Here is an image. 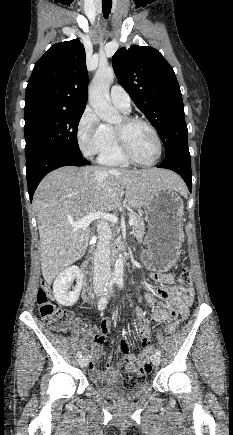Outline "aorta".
<instances>
[{
    "label": "aorta",
    "instance_id": "1",
    "mask_svg": "<svg viewBox=\"0 0 233 435\" xmlns=\"http://www.w3.org/2000/svg\"><path fill=\"white\" fill-rule=\"evenodd\" d=\"M115 77L112 67L98 68L89 87V103L97 116L108 123L121 121L119 112L112 106L109 98V88ZM124 257L119 255L116 260L112 277L116 281L123 279Z\"/></svg>",
    "mask_w": 233,
    "mask_h": 435
}]
</instances>
